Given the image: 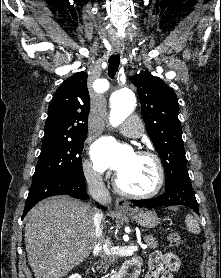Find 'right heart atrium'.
Returning <instances> with one entry per match:
<instances>
[{"mask_svg": "<svg viewBox=\"0 0 221 278\" xmlns=\"http://www.w3.org/2000/svg\"><path fill=\"white\" fill-rule=\"evenodd\" d=\"M82 171L85 179L89 183H97L101 179V174L92 166L91 162L85 160L82 164Z\"/></svg>", "mask_w": 221, "mask_h": 278, "instance_id": "d8ad5b80", "label": "right heart atrium"}]
</instances>
